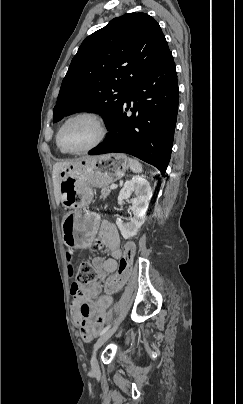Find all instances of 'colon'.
<instances>
[{
    "label": "colon",
    "instance_id": "obj_1",
    "mask_svg": "<svg viewBox=\"0 0 243 404\" xmlns=\"http://www.w3.org/2000/svg\"><path fill=\"white\" fill-rule=\"evenodd\" d=\"M135 255V244L126 243L123 255L118 263V270L112 275L105 284L107 293H114L120 290L129 278L132 261ZM98 277L97 270L90 262H82L77 274V282L80 284H90Z\"/></svg>",
    "mask_w": 243,
    "mask_h": 404
}]
</instances>
